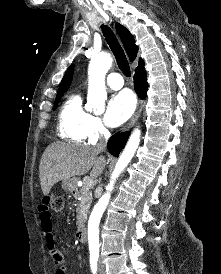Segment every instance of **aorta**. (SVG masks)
<instances>
[{
	"label": "aorta",
	"instance_id": "aorta-1",
	"mask_svg": "<svg viewBox=\"0 0 221 274\" xmlns=\"http://www.w3.org/2000/svg\"><path fill=\"white\" fill-rule=\"evenodd\" d=\"M112 57L103 55L91 59L88 68V97L87 104L90 109L95 112L104 108L106 93H105V75L112 65ZM141 131L136 128L120 155L115 169L112 173L109 184L106 186V193L99 199L94 206L88 222V243L91 254L99 253V223L105 211L114 188V183L118 176L124 171L134 156L139 143Z\"/></svg>",
	"mask_w": 221,
	"mask_h": 274
}]
</instances>
